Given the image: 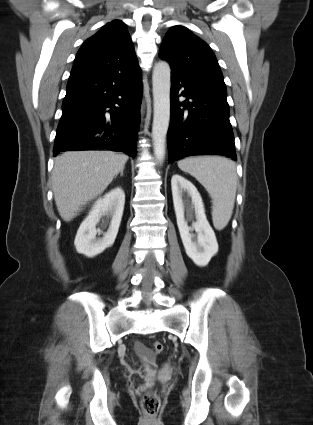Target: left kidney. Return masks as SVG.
I'll list each match as a JSON object with an SVG mask.
<instances>
[{
	"mask_svg": "<svg viewBox=\"0 0 313 425\" xmlns=\"http://www.w3.org/2000/svg\"><path fill=\"white\" fill-rule=\"evenodd\" d=\"M172 196L177 225L180 236L188 257L200 267L206 266L211 258L218 252V243L215 233L206 219L202 198L197 188L184 177L175 174L171 179ZM191 197V204L183 200L184 193ZM185 208L187 216L194 213L196 222L191 227L185 219ZM191 230L197 233L196 241H193Z\"/></svg>",
	"mask_w": 313,
	"mask_h": 425,
	"instance_id": "left-kidney-1",
	"label": "left kidney"
}]
</instances>
